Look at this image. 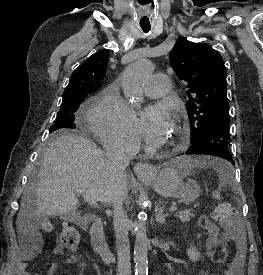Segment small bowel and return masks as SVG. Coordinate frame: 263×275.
Segmentation results:
<instances>
[{"label": "small bowel", "instance_id": "small-bowel-1", "mask_svg": "<svg viewBox=\"0 0 263 275\" xmlns=\"http://www.w3.org/2000/svg\"><path fill=\"white\" fill-rule=\"evenodd\" d=\"M201 225L204 228V230L207 233V240H206V247H207V255L211 256L212 250L218 245L220 241V235H219V229L217 226H215L213 223H211L208 219L205 217H202L200 219ZM40 244V239L37 234H33L30 238L29 244L26 246L23 259L19 263V273L20 275H38L35 273H31L27 269V264L29 260L32 258L34 252L38 249ZM55 255H61L62 254V248L56 247L54 249ZM59 270V264L54 263L52 264L49 275H54ZM208 275H214L209 273Z\"/></svg>", "mask_w": 263, "mask_h": 275}]
</instances>
